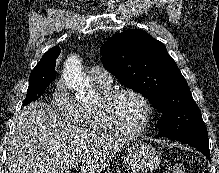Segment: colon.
Wrapping results in <instances>:
<instances>
[{"label": "colon", "mask_w": 219, "mask_h": 173, "mask_svg": "<svg viewBox=\"0 0 219 173\" xmlns=\"http://www.w3.org/2000/svg\"><path fill=\"white\" fill-rule=\"evenodd\" d=\"M172 172L173 173H187V170L183 165L177 164L173 167Z\"/></svg>", "instance_id": "colon-1"}]
</instances>
